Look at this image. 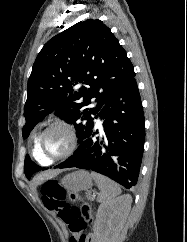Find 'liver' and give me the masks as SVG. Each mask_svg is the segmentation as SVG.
<instances>
[{
	"label": "liver",
	"instance_id": "liver-1",
	"mask_svg": "<svg viewBox=\"0 0 187 242\" xmlns=\"http://www.w3.org/2000/svg\"><path fill=\"white\" fill-rule=\"evenodd\" d=\"M60 171H51V172H46V173H42L40 175H38L36 178H35V181L36 182H39V181H42L44 179H48L49 177L53 176V175H56L58 174Z\"/></svg>",
	"mask_w": 187,
	"mask_h": 242
}]
</instances>
